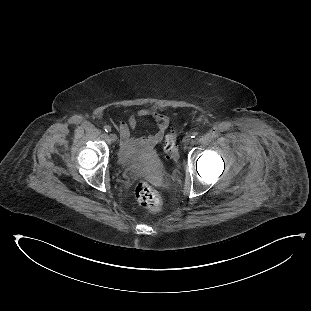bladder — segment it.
<instances>
[{
    "label": "bladder",
    "mask_w": 311,
    "mask_h": 311,
    "mask_svg": "<svg viewBox=\"0 0 311 311\" xmlns=\"http://www.w3.org/2000/svg\"><path fill=\"white\" fill-rule=\"evenodd\" d=\"M163 168L165 164L162 162L160 155L157 153V150L148 157L143 158L140 161L139 168H141L146 176H150L154 172V168Z\"/></svg>",
    "instance_id": "bladder-1"
}]
</instances>
